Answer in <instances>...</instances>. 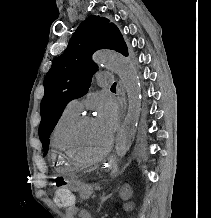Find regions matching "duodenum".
Returning a JSON list of instances; mask_svg holds the SVG:
<instances>
[{
  "label": "duodenum",
  "instance_id": "duodenum-1",
  "mask_svg": "<svg viewBox=\"0 0 211 218\" xmlns=\"http://www.w3.org/2000/svg\"><path fill=\"white\" fill-rule=\"evenodd\" d=\"M80 218H91V214L87 210H81L80 211Z\"/></svg>",
  "mask_w": 211,
  "mask_h": 218
}]
</instances>
